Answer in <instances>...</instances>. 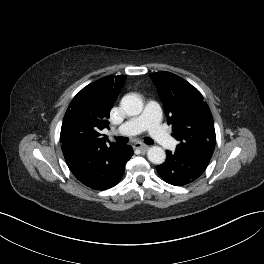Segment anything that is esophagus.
<instances>
[{
  "instance_id": "1",
  "label": "esophagus",
  "mask_w": 264,
  "mask_h": 264,
  "mask_svg": "<svg viewBox=\"0 0 264 264\" xmlns=\"http://www.w3.org/2000/svg\"><path fill=\"white\" fill-rule=\"evenodd\" d=\"M133 148L135 149H140V150H143V151H146L148 150L149 146L144 144V143H141V142H137L133 145Z\"/></svg>"
}]
</instances>
